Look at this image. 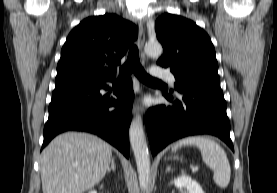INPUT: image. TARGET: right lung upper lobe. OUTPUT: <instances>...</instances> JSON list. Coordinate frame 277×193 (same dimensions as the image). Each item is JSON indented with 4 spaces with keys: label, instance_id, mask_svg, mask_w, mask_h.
Wrapping results in <instances>:
<instances>
[{
    "label": "right lung upper lobe",
    "instance_id": "obj_1",
    "mask_svg": "<svg viewBox=\"0 0 277 193\" xmlns=\"http://www.w3.org/2000/svg\"><path fill=\"white\" fill-rule=\"evenodd\" d=\"M137 37V27L116 14L84 19L70 32L62 47L55 88L114 79L122 56Z\"/></svg>",
    "mask_w": 277,
    "mask_h": 193
}]
</instances>
